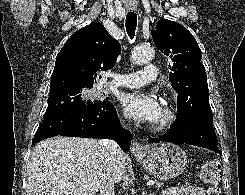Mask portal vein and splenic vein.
Here are the masks:
<instances>
[{
    "instance_id": "18ae733b",
    "label": "portal vein and splenic vein",
    "mask_w": 245,
    "mask_h": 195,
    "mask_svg": "<svg viewBox=\"0 0 245 195\" xmlns=\"http://www.w3.org/2000/svg\"><path fill=\"white\" fill-rule=\"evenodd\" d=\"M78 183H81V182L78 181ZM154 184H155V181H153V180H150V181L147 182V185H148V186H152V185H154Z\"/></svg>"
}]
</instances>
